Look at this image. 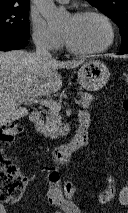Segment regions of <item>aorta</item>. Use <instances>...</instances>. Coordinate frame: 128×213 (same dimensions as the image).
I'll list each match as a JSON object with an SVG mask.
<instances>
[{
  "label": "aorta",
  "instance_id": "obj_1",
  "mask_svg": "<svg viewBox=\"0 0 128 213\" xmlns=\"http://www.w3.org/2000/svg\"><path fill=\"white\" fill-rule=\"evenodd\" d=\"M39 7L43 17L49 25L58 26L63 23L67 14L65 11L58 9L53 0H34Z\"/></svg>",
  "mask_w": 128,
  "mask_h": 213
}]
</instances>
